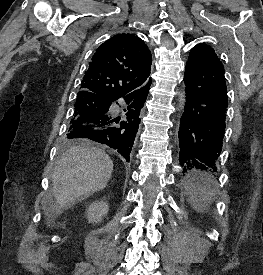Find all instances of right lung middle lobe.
Returning <instances> with one entry per match:
<instances>
[{"label": "right lung middle lobe", "mask_w": 263, "mask_h": 275, "mask_svg": "<svg viewBox=\"0 0 263 275\" xmlns=\"http://www.w3.org/2000/svg\"><path fill=\"white\" fill-rule=\"evenodd\" d=\"M108 108L109 102L99 96L93 94L79 95L75 102V111L72 120L83 114L107 111ZM77 144L78 142L75 139L66 137L63 140L64 146H73Z\"/></svg>", "instance_id": "1"}]
</instances>
